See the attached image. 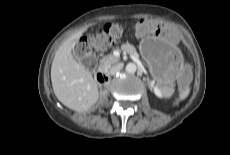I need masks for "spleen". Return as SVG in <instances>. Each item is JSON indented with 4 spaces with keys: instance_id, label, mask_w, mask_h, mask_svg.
<instances>
[{
    "instance_id": "spleen-1",
    "label": "spleen",
    "mask_w": 230,
    "mask_h": 155,
    "mask_svg": "<svg viewBox=\"0 0 230 155\" xmlns=\"http://www.w3.org/2000/svg\"><path fill=\"white\" fill-rule=\"evenodd\" d=\"M189 92H190V88L189 87H186L185 89H183L181 91V93L179 94V97L177 99H175V101L173 102L172 105L173 106L178 105L180 101L184 100L188 96Z\"/></svg>"
}]
</instances>
